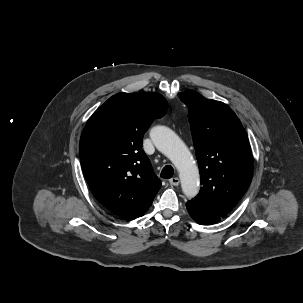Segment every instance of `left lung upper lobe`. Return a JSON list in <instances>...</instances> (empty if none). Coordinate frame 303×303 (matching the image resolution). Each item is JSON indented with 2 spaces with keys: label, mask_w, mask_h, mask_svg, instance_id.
I'll return each mask as SVG.
<instances>
[{
  "label": "left lung upper lobe",
  "mask_w": 303,
  "mask_h": 303,
  "mask_svg": "<svg viewBox=\"0 0 303 303\" xmlns=\"http://www.w3.org/2000/svg\"><path fill=\"white\" fill-rule=\"evenodd\" d=\"M189 109L202 188L191 202L225 218L246 192L253 174L247 133L223 102L194 90L179 93Z\"/></svg>",
  "instance_id": "5c2ea615"
}]
</instances>
